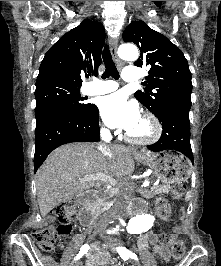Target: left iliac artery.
I'll return each mask as SVG.
<instances>
[{
  "mask_svg": "<svg viewBox=\"0 0 221 266\" xmlns=\"http://www.w3.org/2000/svg\"><path fill=\"white\" fill-rule=\"evenodd\" d=\"M117 251L120 254L121 258H123L124 260H127L128 258L138 260L137 255L135 253H132L131 251H129L125 247H118Z\"/></svg>",
  "mask_w": 221,
  "mask_h": 266,
  "instance_id": "44dca946",
  "label": "left iliac artery"
}]
</instances>
